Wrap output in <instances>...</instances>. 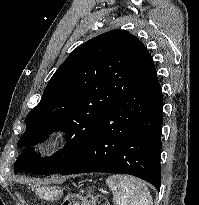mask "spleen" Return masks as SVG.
<instances>
[{
    "label": "spleen",
    "mask_w": 199,
    "mask_h": 205,
    "mask_svg": "<svg viewBox=\"0 0 199 205\" xmlns=\"http://www.w3.org/2000/svg\"><path fill=\"white\" fill-rule=\"evenodd\" d=\"M116 205H153L146 184L132 176L112 175L106 180Z\"/></svg>",
    "instance_id": "3e777b00"
}]
</instances>
